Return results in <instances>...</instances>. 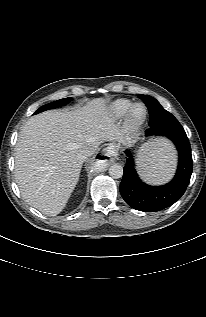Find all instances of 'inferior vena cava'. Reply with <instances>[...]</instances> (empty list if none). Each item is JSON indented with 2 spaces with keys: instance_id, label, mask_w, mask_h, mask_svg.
<instances>
[{
  "instance_id": "602c4592",
  "label": "inferior vena cava",
  "mask_w": 206,
  "mask_h": 317,
  "mask_svg": "<svg viewBox=\"0 0 206 317\" xmlns=\"http://www.w3.org/2000/svg\"><path fill=\"white\" fill-rule=\"evenodd\" d=\"M94 153V151L91 148H85V149H81L78 153H77V158L84 162L88 157H90L92 154Z\"/></svg>"
}]
</instances>
